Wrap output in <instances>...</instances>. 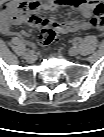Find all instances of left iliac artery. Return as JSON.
Instances as JSON below:
<instances>
[{
	"instance_id": "1",
	"label": "left iliac artery",
	"mask_w": 104,
	"mask_h": 137,
	"mask_svg": "<svg viewBox=\"0 0 104 137\" xmlns=\"http://www.w3.org/2000/svg\"><path fill=\"white\" fill-rule=\"evenodd\" d=\"M74 42L78 43L79 42V38L74 39Z\"/></svg>"
}]
</instances>
